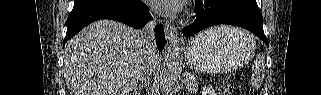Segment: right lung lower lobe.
Instances as JSON below:
<instances>
[{"mask_svg": "<svg viewBox=\"0 0 321 95\" xmlns=\"http://www.w3.org/2000/svg\"><path fill=\"white\" fill-rule=\"evenodd\" d=\"M151 18L147 6L140 0L132 4H106L74 8L67 19L65 42L76 35L83 27L99 19H111L125 23L133 28H142ZM155 38L158 49L165 45L164 30L161 25L155 29Z\"/></svg>", "mask_w": 321, "mask_h": 95, "instance_id": "obj_1", "label": "right lung lower lobe"}]
</instances>
